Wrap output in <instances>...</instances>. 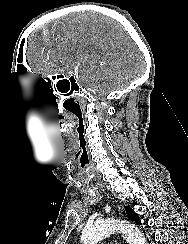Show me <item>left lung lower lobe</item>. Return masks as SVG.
Here are the masks:
<instances>
[{"instance_id":"left-lung-lower-lobe-1","label":"left lung lower lobe","mask_w":188,"mask_h":244,"mask_svg":"<svg viewBox=\"0 0 188 244\" xmlns=\"http://www.w3.org/2000/svg\"><path fill=\"white\" fill-rule=\"evenodd\" d=\"M137 224H138V225H141V222L139 221Z\"/></svg>"}]
</instances>
